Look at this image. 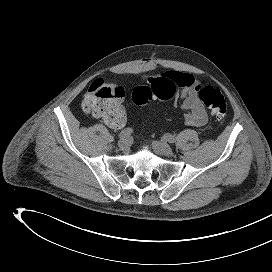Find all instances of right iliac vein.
<instances>
[{
  "label": "right iliac vein",
  "mask_w": 272,
  "mask_h": 272,
  "mask_svg": "<svg viewBox=\"0 0 272 272\" xmlns=\"http://www.w3.org/2000/svg\"><path fill=\"white\" fill-rule=\"evenodd\" d=\"M118 146L120 149H126L128 148L129 146V140L127 138H121L119 141H118Z\"/></svg>",
  "instance_id": "1"
}]
</instances>
